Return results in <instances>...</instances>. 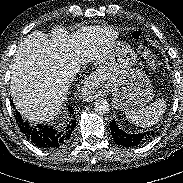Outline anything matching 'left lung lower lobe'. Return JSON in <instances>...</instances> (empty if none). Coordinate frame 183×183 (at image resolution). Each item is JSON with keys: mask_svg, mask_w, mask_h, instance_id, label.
<instances>
[{"mask_svg": "<svg viewBox=\"0 0 183 183\" xmlns=\"http://www.w3.org/2000/svg\"><path fill=\"white\" fill-rule=\"evenodd\" d=\"M110 130L114 141H116L119 145L125 147H133L153 137L158 129L143 134H128L121 130L116 124L115 120H113L112 122H110Z\"/></svg>", "mask_w": 183, "mask_h": 183, "instance_id": "left-lung-lower-lobe-1", "label": "left lung lower lobe"}]
</instances>
